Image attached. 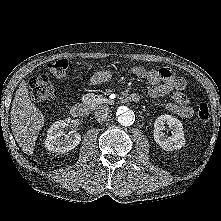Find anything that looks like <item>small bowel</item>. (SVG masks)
<instances>
[{
    "label": "small bowel",
    "mask_w": 221,
    "mask_h": 221,
    "mask_svg": "<svg viewBox=\"0 0 221 221\" xmlns=\"http://www.w3.org/2000/svg\"><path fill=\"white\" fill-rule=\"evenodd\" d=\"M131 72L141 78H146L154 87L148 91L152 98L171 95L172 102L165 104V108L171 113L182 117L191 118L193 109L186 95L187 82L182 77L176 76L169 68L146 71L141 67H133ZM113 72L109 69L94 73L89 79L90 86H96L109 81Z\"/></svg>",
    "instance_id": "small-bowel-1"
}]
</instances>
